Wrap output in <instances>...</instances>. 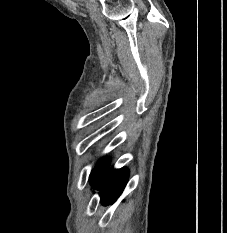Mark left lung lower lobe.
<instances>
[{
    "instance_id": "0a47b994",
    "label": "left lung lower lobe",
    "mask_w": 227,
    "mask_h": 233,
    "mask_svg": "<svg viewBox=\"0 0 227 233\" xmlns=\"http://www.w3.org/2000/svg\"><path fill=\"white\" fill-rule=\"evenodd\" d=\"M109 167L97 189L100 191L101 203L104 205L115 202L124 190L129 176V170L127 168L109 170Z\"/></svg>"
}]
</instances>
